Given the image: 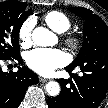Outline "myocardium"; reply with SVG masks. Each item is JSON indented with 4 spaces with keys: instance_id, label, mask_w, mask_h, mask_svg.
<instances>
[{
    "instance_id": "1",
    "label": "myocardium",
    "mask_w": 108,
    "mask_h": 108,
    "mask_svg": "<svg viewBox=\"0 0 108 108\" xmlns=\"http://www.w3.org/2000/svg\"><path fill=\"white\" fill-rule=\"evenodd\" d=\"M64 42L72 50H76L80 46V39L75 35L67 36Z\"/></svg>"
}]
</instances>
